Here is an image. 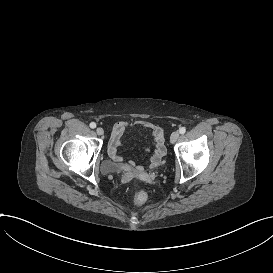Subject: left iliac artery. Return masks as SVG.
Returning <instances> with one entry per match:
<instances>
[{
	"label": "left iliac artery",
	"instance_id": "44dca946",
	"mask_svg": "<svg viewBox=\"0 0 273 273\" xmlns=\"http://www.w3.org/2000/svg\"><path fill=\"white\" fill-rule=\"evenodd\" d=\"M185 132H186V128L185 127L179 128V133L180 134H184Z\"/></svg>",
	"mask_w": 273,
	"mask_h": 273
}]
</instances>
